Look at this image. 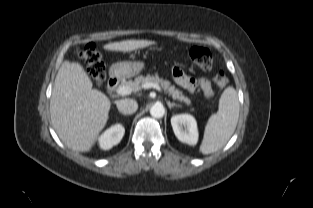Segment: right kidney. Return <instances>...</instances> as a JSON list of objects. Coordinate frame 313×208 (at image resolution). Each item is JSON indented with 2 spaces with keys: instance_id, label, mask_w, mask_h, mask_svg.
<instances>
[{
  "instance_id": "1",
  "label": "right kidney",
  "mask_w": 313,
  "mask_h": 208,
  "mask_svg": "<svg viewBox=\"0 0 313 208\" xmlns=\"http://www.w3.org/2000/svg\"><path fill=\"white\" fill-rule=\"evenodd\" d=\"M125 133V128L121 124H115L107 129L99 138L100 147L109 150L120 143Z\"/></svg>"
}]
</instances>
